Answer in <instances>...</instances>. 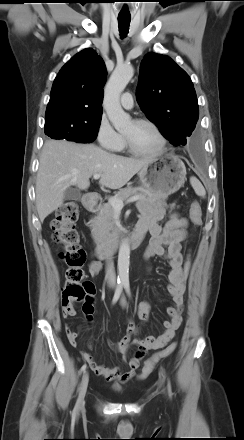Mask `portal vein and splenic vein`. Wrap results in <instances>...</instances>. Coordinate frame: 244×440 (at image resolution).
<instances>
[{"mask_svg":"<svg viewBox=\"0 0 244 440\" xmlns=\"http://www.w3.org/2000/svg\"><path fill=\"white\" fill-rule=\"evenodd\" d=\"M101 176H102L101 174H94L93 175L94 179H99ZM141 199L142 198L140 196H133V197L129 198L126 201V203L136 202ZM109 202L116 211H121L122 208L124 207V202L122 200L117 199V198L110 197Z\"/></svg>","mask_w":244,"mask_h":440,"instance_id":"obj_1","label":"portal vein and splenic vein"}]
</instances>
